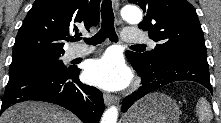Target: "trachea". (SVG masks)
<instances>
[{
    "mask_svg": "<svg viewBox=\"0 0 221 123\" xmlns=\"http://www.w3.org/2000/svg\"><path fill=\"white\" fill-rule=\"evenodd\" d=\"M101 17H102L101 29L92 38L85 39V42L87 44L91 45L101 44L107 38H109V40H111L112 42L118 41V36L114 28V13L112 9L111 0H105L102 2ZM77 40H80V38H78ZM134 46H142V45L138 44Z\"/></svg>",
    "mask_w": 221,
    "mask_h": 123,
    "instance_id": "trachea-1",
    "label": "trachea"
}]
</instances>
